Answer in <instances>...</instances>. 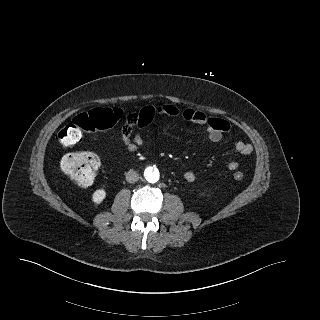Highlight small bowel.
I'll return each instance as SVG.
<instances>
[{
    "mask_svg": "<svg viewBox=\"0 0 320 320\" xmlns=\"http://www.w3.org/2000/svg\"><path fill=\"white\" fill-rule=\"evenodd\" d=\"M182 116L188 122L206 126L208 138L212 142H219L223 135L229 130L230 125L227 121L217 118H209L203 112L194 109L179 110L173 105H157L145 106L138 111L131 113L121 131V141L125 149L129 152H135L145 143L144 132L147 126L158 116ZM147 117L149 123L146 125H137L135 121L138 118ZM134 127H137L134 131ZM235 150L242 156H248L252 153L253 147L249 143L238 141L235 144ZM239 167L238 161H230L228 168L231 171L237 170ZM182 179L187 183H192L196 179L195 173L186 171L182 175Z\"/></svg>",
    "mask_w": 320,
    "mask_h": 320,
    "instance_id": "c3829d8e",
    "label": "small bowel"
}]
</instances>
